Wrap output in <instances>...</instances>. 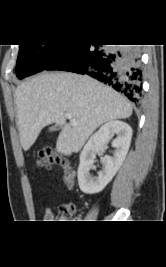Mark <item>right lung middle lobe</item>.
<instances>
[{
    "mask_svg": "<svg viewBox=\"0 0 166 267\" xmlns=\"http://www.w3.org/2000/svg\"><path fill=\"white\" fill-rule=\"evenodd\" d=\"M66 45H20L16 75L23 79L45 69Z\"/></svg>",
    "mask_w": 166,
    "mask_h": 267,
    "instance_id": "1",
    "label": "right lung middle lobe"
}]
</instances>
